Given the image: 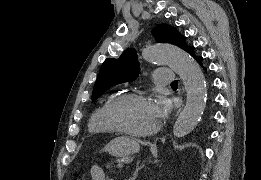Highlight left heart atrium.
<instances>
[{
    "mask_svg": "<svg viewBox=\"0 0 261 180\" xmlns=\"http://www.w3.org/2000/svg\"><path fill=\"white\" fill-rule=\"evenodd\" d=\"M153 101L159 110L169 109L171 106L170 100L165 95H157Z\"/></svg>",
    "mask_w": 261,
    "mask_h": 180,
    "instance_id": "39dd6f15",
    "label": "left heart atrium"
}]
</instances>
